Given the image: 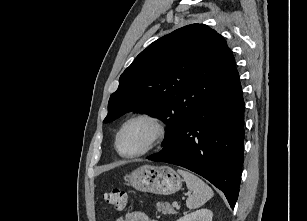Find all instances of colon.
I'll list each match as a JSON object with an SVG mask.
<instances>
[{
	"instance_id": "colon-1",
	"label": "colon",
	"mask_w": 307,
	"mask_h": 221,
	"mask_svg": "<svg viewBox=\"0 0 307 221\" xmlns=\"http://www.w3.org/2000/svg\"><path fill=\"white\" fill-rule=\"evenodd\" d=\"M103 199L107 204L117 209H124L131 202L127 193L118 188H113L105 192Z\"/></svg>"
}]
</instances>
